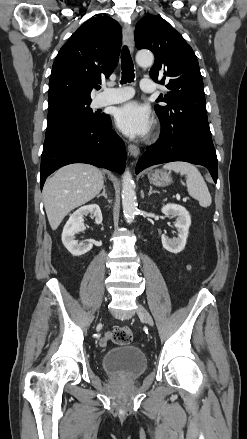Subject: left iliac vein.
Returning <instances> with one entry per match:
<instances>
[{
  "label": "left iliac vein",
  "mask_w": 247,
  "mask_h": 439,
  "mask_svg": "<svg viewBox=\"0 0 247 439\" xmlns=\"http://www.w3.org/2000/svg\"><path fill=\"white\" fill-rule=\"evenodd\" d=\"M137 313H138V316L142 320H144L148 325H150V326L154 325L153 318L150 315V313L145 309V307H143L142 305L139 304L138 309H137Z\"/></svg>",
  "instance_id": "obj_1"
}]
</instances>
